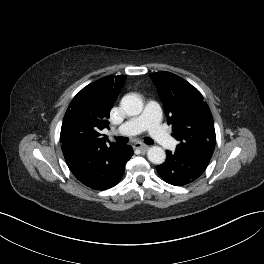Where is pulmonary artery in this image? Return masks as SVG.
Returning <instances> with one entry per match:
<instances>
[{
	"label": "pulmonary artery",
	"instance_id": "pulmonary-artery-1",
	"mask_svg": "<svg viewBox=\"0 0 264 264\" xmlns=\"http://www.w3.org/2000/svg\"><path fill=\"white\" fill-rule=\"evenodd\" d=\"M161 108L158 103L150 101L146 108L138 117H135L123 123L117 130V133L125 136H132L148 130L150 136L163 148H171L174 145V139L164 130L160 122Z\"/></svg>",
	"mask_w": 264,
	"mask_h": 264
}]
</instances>
